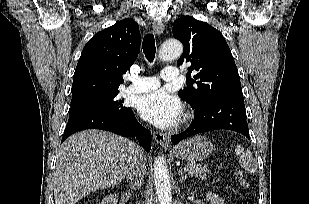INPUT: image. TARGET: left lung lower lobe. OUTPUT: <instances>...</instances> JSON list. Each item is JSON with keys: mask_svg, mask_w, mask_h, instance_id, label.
Here are the masks:
<instances>
[{"mask_svg": "<svg viewBox=\"0 0 309 204\" xmlns=\"http://www.w3.org/2000/svg\"><path fill=\"white\" fill-rule=\"evenodd\" d=\"M226 129L249 138L243 97L214 99L194 110V120L184 132L171 137L173 144L198 133Z\"/></svg>", "mask_w": 309, "mask_h": 204, "instance_id": "1", "label": "left lung lower lobe"}]
</instances>
